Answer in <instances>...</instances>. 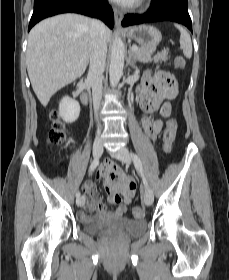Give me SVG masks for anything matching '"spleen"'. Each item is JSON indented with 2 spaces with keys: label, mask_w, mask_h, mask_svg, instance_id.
<instances>
[{
  "label": "spleen",
  "mask_w": 229,
  "mask_h": 280,
  "mask_svg": "<svg viewBox=\"0 0 229 280\" xmlns=\"http://www.w3.org/2000/svg\"><path fill=\"white\" fill-rule=\"evenodd\" d=\"M176 28L180 31V47L183 50L185 57L190 58L192 56V42L189 33L178 24H175Z\"/></svg>",
  "instance_id": "spleen-1"
}]
</instances>
